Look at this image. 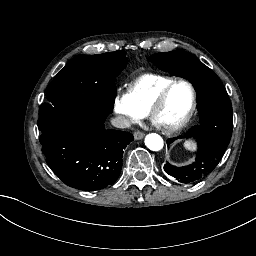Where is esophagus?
Listing matches in <instances>:
<instances>
[{
  "mask_svg": "<svg viewBox=\"0 0 256 256\" xmlns=\"http://www.w3.org/2000/svg\"><path fill=\"white\" fill-rule=\"evenodd\" d=\"M144 133L140 130H137L134 132V138L135 140H141L144 137Z\"/></svg>",
  "mask_w": 256,
  "mask_h": 256,
  "instance_id": "1",
  "label": "esophagus"
}]
</instances>
